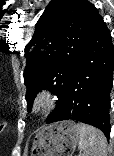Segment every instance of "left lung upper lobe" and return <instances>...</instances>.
I'll return each mask as SVG.
<instances>
[{"instance_id": "5c2ea615", "label": "left lung upper lobe", "mask_w": 114, "mask_h": 156, "mask_svg": "<svg viewBox=\"0 0 114 156\" xmlns=\"http://www.w3.org/2000/svg\"><path fill=\"white\" fill-rule=\"evenodd\" d=\"M99 13L87 0H52L36 24L26 46L24 70L28 109L36 94L49 89L57 95V106L47 122L60 109L68 82ZM33 46V51H28Z\"/></svg>"}]
</instances>
